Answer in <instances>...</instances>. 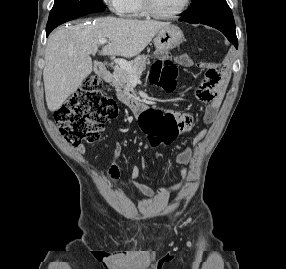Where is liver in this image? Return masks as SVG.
Returning <instances> with one entry per match:
<instances>
[{"label":"liver","instance_id":"6515ba94","mask_svg":"<svg viewBox=\"0 0 286 269\" xmlns=\"http://www.w3.org/2000/svg\"><path fill=\"white\" fill-rule=\"evenodd\" d=\"M169 22L98 18L94 23H77L52 33L47 42L43 80L48 109L56 111L92 72L91 54L99 39H108L100 55L131 58L140 54Z\"/></svg>","mask_w":286,"mask_h":269}]
</instances>
